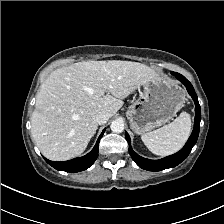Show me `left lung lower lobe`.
<instances>
[{
  "mask_svg": "<svg viewBox=\"0 0 224 224\" xmlns=\"http://www.w3.org/2000/svg\"><path fill=\"white\" fill-rule=\"evenodd\" d=\"M174 76H176V78L186 86L188 93L191 95V97L193 98V100L195 102L196 115H195L194 129H193V132H192L191 136L189 137L187 143L179 152H177L176 154H173L171 156L165 157L163 159H160V160L145 159V158L139 156L138 154H136L130 146L129 153H130L132 159L136 162V164L139 167L149 170V171H160V170H164L167 168H172V167L177 166L183 160L186 159V157L189 155V153L191 152L193 146L196 144V141L198 139L199 130H200L201 109H200V105L198 103L197 95H196L191 83L184 76H182L179 73H175ZM125 137L130 145V137L127 132H126Z\"/></svg>",
  "mask_w": 224,
  "mask_h": 224,
  "instance_id": "left-lung-lower-lobe-1",
  "label": "left lung lower lobe"
}]
</instances>
